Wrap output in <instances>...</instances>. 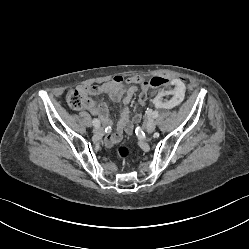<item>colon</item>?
<instances>
[{
  "mask_svg": "<svg viewBox=\"0 0 249 249\" xmlns=\"http://www.w3.org/2000/svg\"><path fill=\"white\" fill-rule=\"evenodd\" d=\"M166 82H167V79L164 76H154L150 80V85L152 87H159V86L166 84ZM146 98H147L146 92H143L140 94L139 104L141 106L144 105ZM66 101L69 107L74 111L81 110L82 108H84L86 104V98L84 94L78 89H72L71 91H69L66 96ZM139 116L140 115H136V117H139ZM116 153L122 160H127L131 155L129 148L124 145L118 146L116 148Z\"/></svg>",
  "mask_w": 249,
  "mask_h": 249,
  "instance_id": "5ec220e1",
  "label": "colon"
}]
</instances>
